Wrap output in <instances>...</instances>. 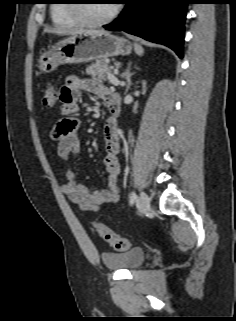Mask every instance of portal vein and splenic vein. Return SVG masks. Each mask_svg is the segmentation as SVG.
Segmentation results:
<instances>
[{"label": "portal vein and splenic vein", "instance_id": "18ae733b", "mask_svg": "<svg viewBox=\"0 0 236 321\" xmlns=\"http://www.w3.org/2000/svg\"><path fill=\"white\" fill-rule=\"evenodd\" d=\"M107 77L113 85L117 86L120 84V81L111 72L107 73Z\"/></svg>", "mask_w": 236, "mask_h": 321}]
</instances>
